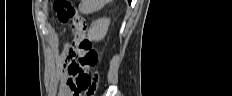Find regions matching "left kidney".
<instances>
[{
  "label": "left kidney",
  "instance_id": "left-kidney-1",
  "mask_svg": "<svg viewBox=\"0 0 232 96\" xmlns=\"http://www.w3.org/2000/svg\"><path fill=\"white\" fill-rule=\"evenodd\" d=\"M109 24L110 19L108 18H100L94 21L88 31V39L91 41L102 40L107 34Z\"/></svg>",
  "mask_w": 232,
  "mask_h": 96
}]
</instances>
